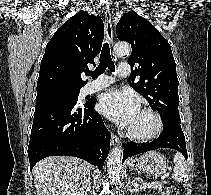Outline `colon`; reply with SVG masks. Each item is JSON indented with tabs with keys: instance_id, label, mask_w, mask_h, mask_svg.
Masks as SVG:
<instances>
[{
	"instance_id": "5ec220e1",
	"label": "colon",
	"mask_w": 211,
	"mask_h": 195,
	"mask_svg": "<svg viewBox=\"0 0 211 195\" xmlns=\"http://www.w3.org/2000/svg\"><path fill=\"white\" fill-rule=\"evenodd\" d=\"M165 195H172V189L171 188H166L164 190Z\"/></svg>"
}]
</instances>
